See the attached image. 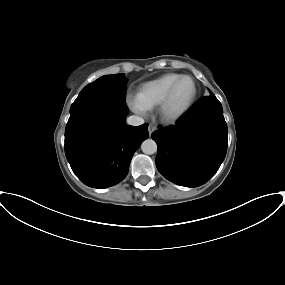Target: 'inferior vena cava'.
Listing matches in <instances>:
<instances>
[{
    "instance_id": "obj_1",
    "label": "inferior vena cava",
    "mask_w": 285,
    "mask_h": 285,
    "mask_svg": "<svg viewBox=\"0 0 285 285\" xmlns=\"http://www.w3.org/2000/svg\"><path fill=\"white\" fill-rule=\"evenodd\" d=\"M127 123L132 126H139L144 123V119L139 116L132 115L127 118Z\"/></svg>"
}]
</instances>
